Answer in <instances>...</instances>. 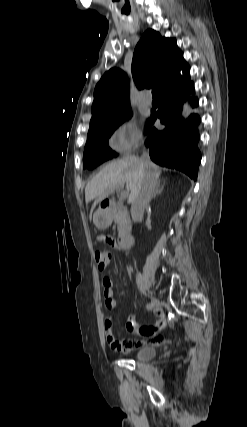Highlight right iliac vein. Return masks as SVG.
Returning <instances> with one entry per match:
<instances>
[{
    "instance_id": "1",
    "label": "right iliac vein",
    "mask_w": 247,
    "mask_h": 427,
    "mask_svg": "<svg viewBox=\"0 0 247 427\" xmlns=\"http://www.w3.org/2000/svg\"><path fill=\"white\" fill-rule=\"evenodd\" d=\"M151 304H152V307H153L154 309H159V308H160V302H159V300H158V299H156L155 297H152V299H151Z\"/></svg>"
}]
</instances>
